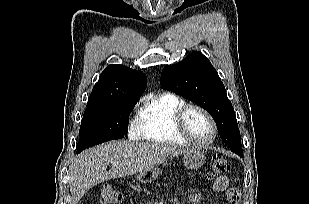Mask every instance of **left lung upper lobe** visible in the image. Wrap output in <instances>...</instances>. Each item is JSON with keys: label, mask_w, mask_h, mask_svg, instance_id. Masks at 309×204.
<instances>
[{"label": "left lung upper lobe", "mask_w": 309, "mask_h": 204, "mask_svg": "<svg viewBox=\"0 0 309 204\" xmlns=\"http://www.w3.org/2000/svg\"><path fill=\"white\" fill-rule=\"evenodd\" d=\"M161 87L207 110L222 140L233 152L242 155L234 109L217 71L201 52H193L177 64L166 65L161 74Z\"/></svg>", "instance_id": "1"}]
</instances>
